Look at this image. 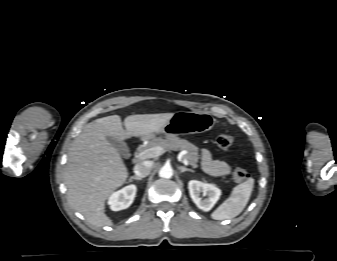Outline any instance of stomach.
Listing matches in <instances>:
<instances>
[{
  "label": "stomach",
  "instance_id": "0dacf381",
  "mask_svg": "<svg viewBox=\"0 0 337 261\" xmlns=\"http://www.w3.org/2000/svg\"><path fill=\"white\" fill-rule=\"evenodd\" d=\"M214 123L215 120L209 113L178 111L158 132L166 136L198 134L211 130Z\"/></svg>",
  "mask_w": 337,
  "mask_h": 261
}]
</instances>
